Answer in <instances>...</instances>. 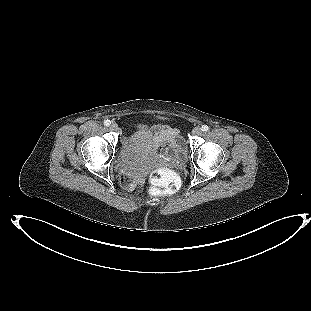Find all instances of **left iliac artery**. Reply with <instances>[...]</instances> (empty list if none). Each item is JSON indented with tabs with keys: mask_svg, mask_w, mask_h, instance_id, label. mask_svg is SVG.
I'll return each mask as SVG.
<instances>
[{
	"mask_svg": "<svg viewBox=\"0 0 311 311\" xmlns=\"http://www.w3.org/2000/svg\"><path fill=\"white\" fill-rule=\"evenodd\" d=\"M201 130H202L203 132H207V131L209 130V127H208L207 125H203L202 128H201Z\"/></svg>",
	"mask_w": 311,
	"mask_h": 311,
	"instance_id": "1",
	"label": "left iliac artery"
}]
</instances>
